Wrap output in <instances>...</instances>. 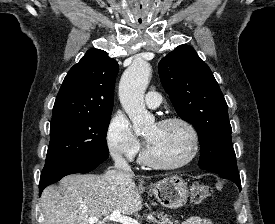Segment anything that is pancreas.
Wrapping results in <instances>:
<instances>
[{
  "label": "pancreas",
  "mask_w": 275,
  "mask_h": 224,
  "mask_svg": "<svg viewBox=\"0 0 275 224\" xmlns=\"http://www.w3.org/2000/svg\"><path fill=\"white\" fill-rule=\"evenodd\" d=\"M157 217L160 221L158 224H178V220L173 219L172 217H169L168 215H163V213L157 214Z\"/></svg>",
  "instance_id": "1"
}]
</instances>
